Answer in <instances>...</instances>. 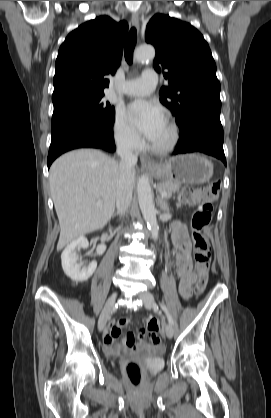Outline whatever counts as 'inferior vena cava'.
<instances>
[{"mask_svg": "<svg viewBox=\"0 0 271 418\" xmlns=\"http://www.w3.org/2000/svg\"><path fill=\"white\" fill-rule=\"evenodd\" d=\"M117 153L121 161L117 182L116 207L118 214L124 215L132 201L131 174L137 163V156L130 146H119Z\"/></svg>", "mask_w": 271, "mask_h": 418, "instance_id": "1", "label": "inferior vena cava"}]
</instances>
